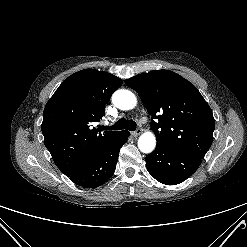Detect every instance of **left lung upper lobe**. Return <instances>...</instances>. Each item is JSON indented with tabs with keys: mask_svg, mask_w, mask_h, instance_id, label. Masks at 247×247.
Returning <instances> with one entry per match:
<instances>
[{
	"mask_svg": "<svg viewBox=\"0 0 247 247\" xmlns=\"http://www.w3.org/2000/svg\"><path fill=\"white\" fill-rule=\"evenodd\" d=\"M152 119L157 144L203 159L213 141L212 110L188 80L169 70H153L126 79Z\"/></svg>",
	"mask_w": 247,
	"mask_h": 247,
	"instance_id": "obj_1",
	"label": "left lung upper lobe"
}]
</instances>
